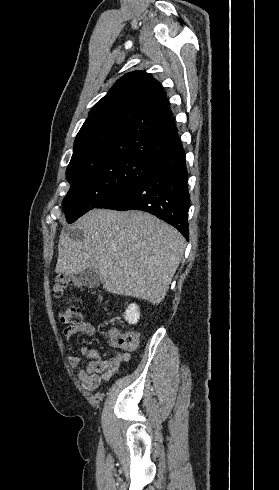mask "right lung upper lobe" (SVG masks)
I'll return each instance as SVG.
<instances>
[{"label":"right lung upper lobe","mask_w":279,"mask_h":490,"mask_svg":"<svg viewBox=\"0 0 279 490\" xmlns=\"http://www.w3.org/2000/svg\"><path fill=\"white\" fill-rule=\"evenodd\" d=\"M177 131L161 84L146 72L128 73L89 112L67 173L101 159L153 163L181 146Z\"/></svg>","instance_id":"obj_1"}]
</instances>
